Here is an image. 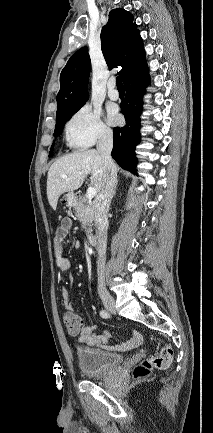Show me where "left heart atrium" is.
Listing matches in <instances>:
<instances>
[{
    "label": "left heart atrium",
    "instance_id": "obj_1",
    "mask_svg": "<svg viewBox=\"0 0 213 433\" xmlns=\"http://www.w3.org/2000/svg\"><path fill=\"white\" fill-rule=\"evenodd\" d=\"M109 121L112 124H117L120 121V117L116 112H111L109 115Z\"/></svg>",
    "mask_w": 213,
    "mask_h": 433
}]
</instances>
